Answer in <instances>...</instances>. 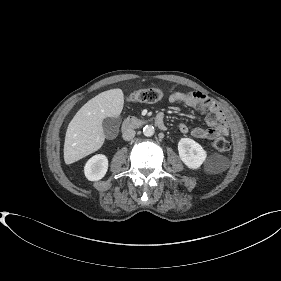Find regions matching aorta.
Masks as SVG:
<instances>
[{"mask_svg": "<svg viewBox=\"0 0 281 281\" xmlns=\"http://www.w3.org/2000/svg\"><path fill=\"white\" fill-rule=\"evenodd\" d=\"M155 132V129L152 125H146L144 128H143V134L147 137H150L154 134Z\"/></svg>", "mask_w": 281, "mask_h": 281, "instance_id": "obj_1", "label": "aorta"}]
</instances>
